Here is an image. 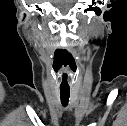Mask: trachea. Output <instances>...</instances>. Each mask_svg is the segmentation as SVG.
Masks as SVG:
<instances>
[{"label":"trachea","mask_w":127,"mask_h":126,"mask_svg":"<svg viewBox=\"0 0 127 126\" xmlns=\"http://www.w3.org/2000/svg\"><path fill=\"white\" fill-rule=\"evenodd\" d=\"M69 97H70V89L60 88V99L64 107L68 105Z\"/></svg>","instance_id":"obj_1"}]
</instances>
